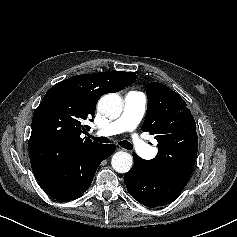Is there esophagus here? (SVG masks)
<instances>
[{"instance_id": "esophagus-1", "label": "esophagus", "mask_w": 237, "mask_h": 237, "mask_svg": "<svg viewBox=\"0 0 237 237\" xmlns=\"http://www.w3.org/2000/svg\"><path fill=\"white\" fill-rule=\"evenodd\" d=\"M117 150L120 151V150H124V149L120 146H117Z\"/></svg>"}]
</instances>
